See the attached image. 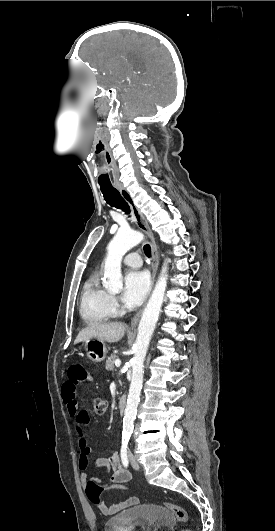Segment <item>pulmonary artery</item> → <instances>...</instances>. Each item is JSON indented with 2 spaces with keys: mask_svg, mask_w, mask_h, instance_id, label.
I'll return each mask as SVG.
<instances>
[{
  "mask_svg": "<svg viewBox=\"0 0 275 531\" xmlns=\"http://www.w3.org/2000/svg\"><path fill=\"white\" fill-rule=\"evenodd\" d=\"M124 262L129 265V268H131L132 266H137L138 268H140V260L136 252H131V255L127 256V258L124 259Z\"/></svg>",
  "mask_w": 275,
  "mask_h": 531,
  "instance_id": "1",
  "label": "pulmonary artery"
}]
</instances>
